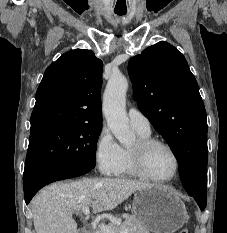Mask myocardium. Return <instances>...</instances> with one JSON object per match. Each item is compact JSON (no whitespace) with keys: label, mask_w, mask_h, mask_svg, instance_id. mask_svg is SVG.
Here are the masks:
<instances>
[{"label":"myocardium","mask_w":227,"mask_h":233,"mask_svg":"<svg viewBox=\"0 0 227 233\" xmlns=\"http://www.w3.org/2000/svg\"><path fill=\"white\" fill-rule=\"evenodd\" d=\"M158 146L166 148L173 156V159L175 162L174 173L172 174V176L168 178L155 177L148 171L147 166H146V157L149 151ZM130 153H131L132 164H133L135 171L137 172L139 176L147 180L159 182V183H166V182H170L176 179V177L179 174L180 159L176 151L174 150V148L170 144L162 140H158L154 138L139 139L136 145L130 149Z\"/></svg>","instance_id":"obj_1"}]
</instances>
